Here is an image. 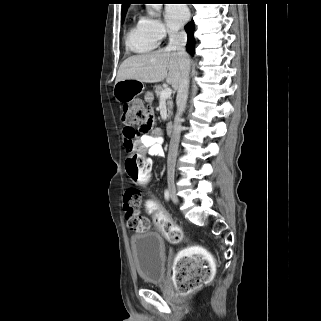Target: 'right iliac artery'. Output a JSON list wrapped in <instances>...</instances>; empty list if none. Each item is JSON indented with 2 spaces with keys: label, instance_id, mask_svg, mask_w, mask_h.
Segmentation results:
<instances>
[{
  "label": "right iliac artery",
  "instance_id": "82829eb1",
  "mask_svg": "<svg viewBox=\"0 0 321 321\" xmlns=\"http://www.w3.org/2000/svg\"><path fill=\"white\" fill-rule=\"evenodd\" d=\"M164 197L166 200H169V198H170L169 191L167 189L164 192Z\"/></svg>",
  "mask_w": 321,
  "mask_h": 321
}]
</instances>
